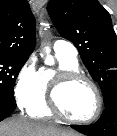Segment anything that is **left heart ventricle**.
Here are the masks:
<instances>
[{
    "mask_svg": "<svg viewBox=\"0 0 117 136\" xmlns=\"http://www.w3.org/2000/svg\"><path fill=\"white\" fill-rule=\"evenodd\" d=\"M61 101L65 112L77 119H87L96 110V96L91 86L85 82H76L67 87Z\"/></svg>",
    "mask_w": 117,
    "mask_h": 136,
    "instance_id": "left-heart-ventricle-1",
    "label": "left heart ventricle"
}]
</instances>
